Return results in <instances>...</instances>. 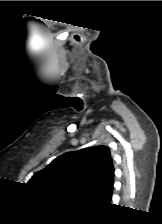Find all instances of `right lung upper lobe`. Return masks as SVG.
<instances>
[{"instance_id":"cb5924a9","label":"right lung upper lobe","mask_w":162,"mask_h":224,"mask_svg":"<svg viewBox=\"0 0 162 224\" xmlns=\"http://www.w3.org/2000/svg\"><path fill=\"white\" fill-rule=\"evenodd\" d=\"M114 167L106 146L67 152L35 173L28 184L34 188L79 196L92 205L112 197Z\"/></svg>"}]
</instances>
